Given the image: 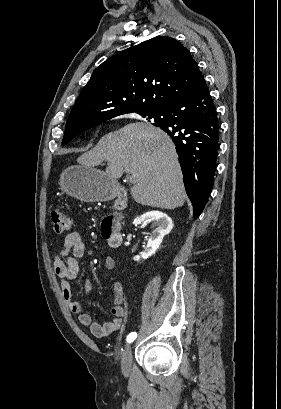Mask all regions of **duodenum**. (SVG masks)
<instances>
[{
	"label": "duodenum",
	"mask_w": 281,
	"mask_h": 409,
	"mask_svg": "<svg viewBox=\"0 0 281 409\" xmlns=\"http://www.w3.org/2000/svg\"><path fill=\"white\" fill-rule=\"evenodd\" d=\"M126 198V187L116 186L114 189L116 211L112 214L105 215L100 222L103 236L108 240L109 245L114 249L120 248L123 242V234L119 224V212L124 209Z\"/></svg>",
	"instance_id": "obj_1"
}]
</instances>
